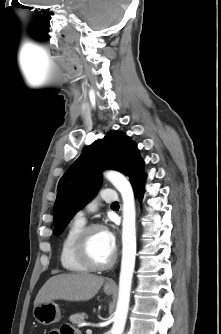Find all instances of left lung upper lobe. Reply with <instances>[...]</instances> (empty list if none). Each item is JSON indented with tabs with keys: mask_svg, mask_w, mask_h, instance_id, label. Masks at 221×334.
I'll use <instances>...</instances> for the list:
<instances>
[{
	"mask_svg": "<svg viewBox=\"0 0 221 334\" xmlns=\"http://www.w3.org/2000/svg\"><path fill=\"white\" fill-rule=\"evenodd\" d=\"M142 166L136 144L122 132L110 131L103 140L93 142L58 183L54 233L60 235L74 214L93 198L102 169H115L132 180Z\"/></svg>",
	"mask_w": 221,
	"mask_h": 334,
	"instance_id": "5c2ea615",
	"label": "left lung upper lobe"
}]
</instances>
